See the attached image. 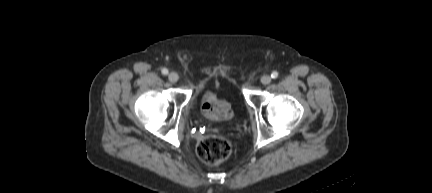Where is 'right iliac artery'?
<instances>
[{
	"label": "right iliac artery",
	"instance_id": "82829eb1",
	"mask_svg": "<svg viewBox=\"0 0 432 193\" xmlns=\"http://www.w3.org/2000/svg\"><path fill=\"white\" fill-rule=\"evenodd\" d=\"M162 74H163V75H167V74H168V70H167L166 68H163V69H162Z\"/></svg>",
	"mask_w": 432,
	"mask_h": 193
}]
</instances>
